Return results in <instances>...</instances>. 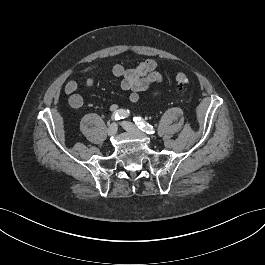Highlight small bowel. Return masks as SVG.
Wrapping results in <instances>:
<instances>
[{
	"mask_svg": "<svg viewBox=\"0 0 265 265\" xmlns=\"http://www.w3.org/2000/svg\"><path fill=\"white\" fill-rule=\"evenodd\" d=\"M105 70V67L99 64L89 66L83 70L86 75L84 86L91 88L96 82L98 73ZM107 70L115 77L121 78V88L125 91H130L129 102L135 103L139 99V94L149 88L151 84L161 83L163 77L158 71L157 62L153 59H147L139 63L134 68H125L120 64H116L107 68ZM79 84L75 80H69L64 91L69 95V104L72 108L79 109L84 104L83 96L78 93ZM110 110L116 112L117 104H112Z\"/></svg>",
	"mask_w": 265,
	"mask_h": 265,
	"instance_id": "c3829d8e",
	"label": "small bowel"
}]
</instances>
